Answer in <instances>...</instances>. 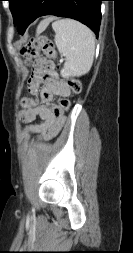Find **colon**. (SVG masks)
Masks as SVG:
<instances>
[{"label": "colon", "instance_id": "5ec220e1", "mask_svg": "<svg viewBox=\"0 0 133 253\" xmlns=\"http://www.w3.org/2000/svg\"><path fill=\"white\" fill-rule=\"evenodd\" d=\"M20 53L28 62L37 59L41 53L45 56L56 57L53 41L43 35L29 40L21 47ZM65 81L69 84L72 93L78 94L81 91V83L79 80L75 78H66ZM70 106L71 102L68 98H61L54 108V113L56 115L63 114L70 109Z\"/></svg>", "mask_w": 133, "mask_h": 253}]
</instances>
